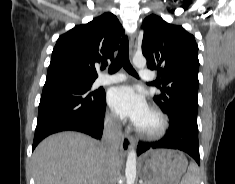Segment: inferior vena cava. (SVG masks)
I'll return each instance as SVG.
<instances>
[{
  "label": "inferior vena cava",
  "instance_id": "obj_1",
  "mask_svg": "<svg viewBox=\"0 0 235 184\" xmlns=\"http://www.w3.org/2000/svg\"><path fill=\"white\" fill-rule=\"evenodd\" d=\"M121 138V126L118 118H111L107 120L104 126L102 146L105 154L110 156H117Z\"/></svg>",
  "mask_w": 235,
  "mask_h": 184
}]
</instances>
